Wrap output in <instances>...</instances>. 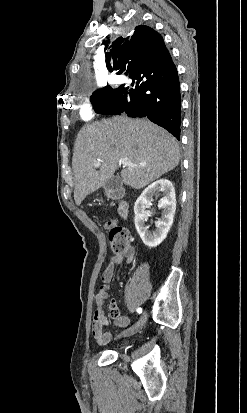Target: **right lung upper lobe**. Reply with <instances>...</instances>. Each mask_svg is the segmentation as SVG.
<instances>
[{
	"label": "right lung upper lobe",
	"mask_w": 247,
	"mask_h": 413,
	"mask_svg": "<svg viewBox=\"0 0 247 413\" xmlns=\"http://www.w3.org/2000/svg\"><path fill=\"white\" fill-rule=\"evenodd\" d=\"M110 48L106 67L127 76L152 73L172 59L162 36L145 25L135 27L130 37H119Z\"/></svg>",
	"instance_id": "cb5924a9"
}]
</instances>
